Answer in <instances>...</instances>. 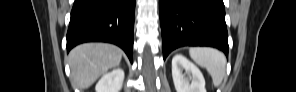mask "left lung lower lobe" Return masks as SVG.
Returning <instances> with one entry per match:
<instances>
[{
  "instance_id": "obj_1",
  "label": "left lung lower lobe",
  "mask_w": 296,
  "mask_h": 92,
  "mask_svg": "<svg viewBox=\"0 0 296 92\" xmlns=\"http://www.w3.org/2000/svg\"><path fill=\"white\" fill-rule=\"evenodd\" d=\"M163 58L182 46H211L228 55L223 0H159Z\"/></svg>"
}]
</instances>
